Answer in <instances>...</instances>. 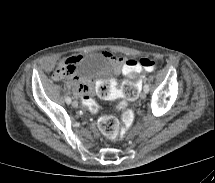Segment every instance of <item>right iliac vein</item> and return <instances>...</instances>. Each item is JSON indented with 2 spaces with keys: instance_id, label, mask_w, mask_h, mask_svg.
Returning a JSON list of instances; mask_svg holds the SVG:
<instances>
[{
  "instance_id": "obj_1",
  "label": "right iliac vein",
  "mask_w": 215,
  "mask_h": 183,
  "mask_svg": "<svg viewBox=\"0 0 215 183\" xmlns=\"http://www.w3.org/2000/svg\"><path fill=\"white\" fill-rule=\"evenodd\" d=\"M72 106H73L74 108H77V107H78V102H77V101H73V102H72Z\"/></svg>"
}]
</instances>
